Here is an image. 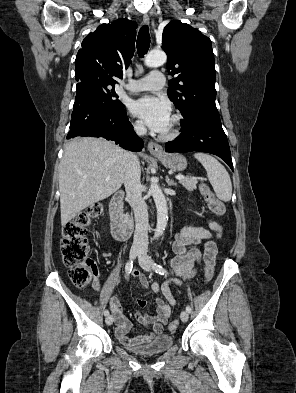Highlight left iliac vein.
<instances>
[{
  "label": "left iliac vein",
  "instance_id": "obj_1",
  "mask_svg": "<svg viewBox=\"0 0 296 393\" xmlns=\"http://www.w3.org/2000/svg\"><path fill=\"white\" fill-rule=\"evenodd\" d=\"M138 261L140 266L146 270V271H151V265H152V260L151 258L147 255L146 250H141V252L138 255ZM180 318L182 322H187L189 318V314L187 311H182L180 314Z\"/></svg>",
  "mask_w": 296,
  "mask_h": 393
}]
</instances>
